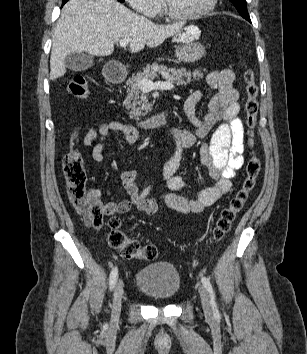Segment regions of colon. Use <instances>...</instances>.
Instances as JSON below:
<instances>
[{"label":"colon","mask_w":307,"mask_h":354,"mask_svg":"<svg viewBox=\"0 0 307 354\" xmlns=\"http://www.w3.org/2000/svg\"><path fill=\"white\" fill-rule=\"evenodd\" d=\"M246 83L245 113L250 144H254V129L258 113V87L254 72L246 68L244 73ZM68 93L76 99L88 97L86 79L82 75H75L68 84ZM62 169L67 182L68 196L74 209L84 217L87 225L98 228L104 223V217L108 214L105 203L95 199L86 188L87 174L81 153L74 148L64 156ZM260 171V161L253 154L245 167V178L240 189L230 200L216 221L213 235L216 240H222L229 232L236 215L242 210L250 193L255 187L256 179ZM106 225L109 229L108 244L119 251L121 257L132 259L152 260L156 257L157 249L152 244L142 245L138 241L127 237L121 230L120 220L111 216Z\"/></svg>","instance_id":"5ec220e1"}]
</instances>
